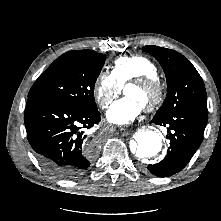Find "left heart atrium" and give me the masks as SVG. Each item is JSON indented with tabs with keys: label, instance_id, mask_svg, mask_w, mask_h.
<instances>
[{
	"label": "left heart atrium",
	"instance_id": "obj_1",
	"mask_svg": "<svg viewBox=\"0 0 221 221\" xmlns=\"http://www.w3.org/2000/svg\"><path fill=\"white\" fill-rule=\"evenodd\" d=\"M143 104L137 99L124 96L114 101L106 112L107 120L116 125H125L141 113Z\"/></svg>",
	"mask_w": 221,
	"mask_h": 221
}]
</instances>
